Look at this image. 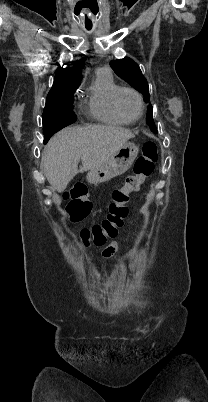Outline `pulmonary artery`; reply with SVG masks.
Instances as JSON below:
<instances>
[{
    "label": "pulmonary artery",
    "mask_w": 208,
    "mask_h": 402,
    "mask_svg": "<svg viewBox=\"0 0 208 402\" xmlns=\"http://www.w3.org/2000/svg\"><path fill=\"white\" fill-rule=\"evenodd\" d=\"M97 72H105V73H107L108 75L112 76L111 70H110V68H109L108 66H104V67H99V68H97Z\"/></svg>",
    "instance_id": "e3ab8cb5"
}]
</instances>
